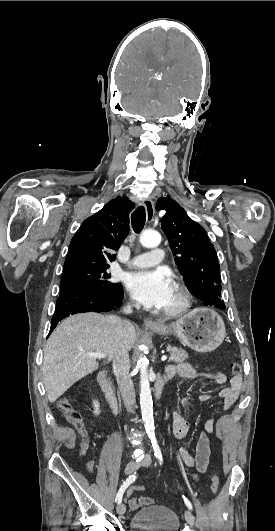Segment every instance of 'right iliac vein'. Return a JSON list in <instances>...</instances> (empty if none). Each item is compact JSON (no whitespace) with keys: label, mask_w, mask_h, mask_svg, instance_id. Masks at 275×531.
I'll list each match as a JSON object with an SVG mask.
<instances>
[{"label":"right iliac vein","mask_w":275,"mask_h":531,"mask_svg":"<svg viewBox=\"0 0 275 531\" xmlns=\"http://www.w3.org/2000/svg\"><path fill=\"white\" fill-rule=\"evenodd\" d=\"M138 468V464L131 460L128 462V464L126 465L125 467V473L128 475V474H132L136 471V469ZM126 511V507L123 503H119L118 506H117V513L122 516L124 515Z\"/></svg>","instance_id":"right-iliac-vein-1"}]
</instances>
